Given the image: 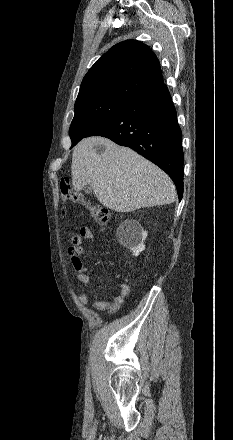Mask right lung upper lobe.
I'll return each instance as SVG.
<instances>
[{
	"mask_svg": "<svg viewBox=\"0 0 233 440\" xmlns=\"http://www.w3.org/2000/svg\"><path fill=\"white\" fill-rule=\"evenodd\" d=\"M163 84L158 59L137 40L113 46L85 75L76 102L89 99L132 98Z\"/></svg>",
	"mask_w": 233,
	"mask_h": 440,
	"instance_id": "1",
	"label": "right lung upper lobe"
}]
</instances>
